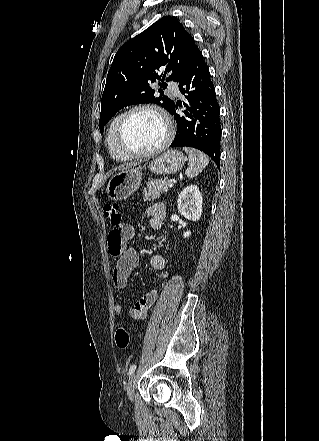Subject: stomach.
I'll list each match as a JSON object with an SVG mask.
<instances>
[{
    "label": "stomach",
    "mask_w": 319,
    "mask_h": 441,
    "mask_svg": "<svg viewBox=\"0 0 319 441\" xmlns=\"http://www.w3.org/2000/svg\"><path fill=\"white\" fill-rule=\"evenodd\" d=\"M184 155L178 150H168L148 164V168L156 174H173L185 163ZM142 166L123 169L111 177L106 192L112 200H124L133 194L142 181Z\"/></svg>",
    "instance_id": "stomach-1"
}]
</instances>
